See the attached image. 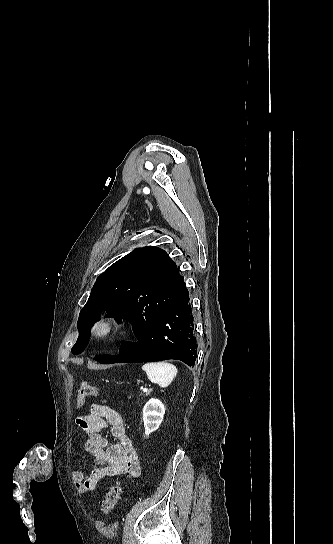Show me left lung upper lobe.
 Returning <instances> with one entry per match:
<instances>
[{
  "instance_id": "1",
  "label": "left lung upper lobe",
  "mask_w": 333,
  "mask_h": 544,
  "mask_svg": "<svg viewBox=\"0 0 333 544\" xmlns=\"http://www.w3.org/2000/svg\"><path fill=\"white\" fill-rule=\"evenodd\" d=\"M185 290L176 263L164 250L153 246L133 250L97 278L80 312L79 337L72 353L84 350L88 330L104 308H111L107 316L126 317L135 326L154 319Z\"/></svg>"
}]
</instances>
